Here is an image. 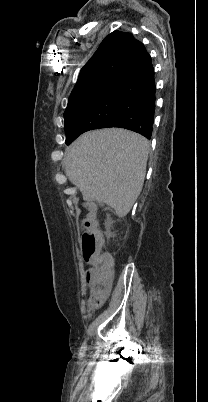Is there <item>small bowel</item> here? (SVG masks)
I'll use <instances>...</instances> for the list:
<instances>
[{"mask_svg": "<svg viewBox=\"0 0 208 402\" xmlns=\"http://www.w3.org/2000/svg\"><path fill=\"white\" fill-rule=\"evenodd\" d=\"M99 256H105L104 254L100 253ZM100 299L104 300L107 298L108 295H97Z\"/></svg>", "mask_w": 208, "mask_h": 402, "instance_id": "obj_1", "label": "small bowel"}]
</instances>
